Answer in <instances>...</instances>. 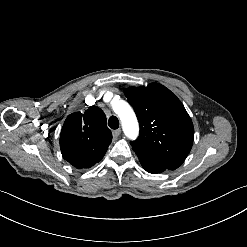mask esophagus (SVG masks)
Instances as JSON below:
<instances>
[{
    "instance_id": "34e87169",
    "label": "esophagus",
    "mask_w": 247,
    "mask_h": 247,
    "mask_svg": "<svg viewBox=\"0 0 247 247\" xmlns=\"http://www.w3.org/2000/svg\"><path fill=\"white\" fill-rule=\"evenodd\" d=\"M112 133H113V138L116 139L121 134V129L118 128L117 130H114Z\"/></svg>"
}]
</instances>
